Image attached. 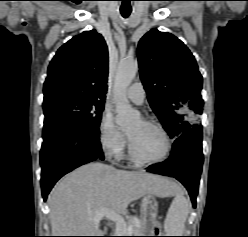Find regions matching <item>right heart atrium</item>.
Returning a JSON list of instances; mask_svg holds the SVG:
<instances>
[{"label": "right heart atrium", "instance_id": "1", "mask_svg": "<svg viewBox=\"0 0 248 237\" xmlns=\"http://www.w3.org/2000/svg\"><path fill=\"white\" fill-rule=\"evenodd\" d=\"M98 133L100 144L109 156L118 158L123 154L126 147V138L116 126L111 112H103L99 122Z\"/></svg>", "mask_w": 248, "mask_h": 237}]
</instances>
